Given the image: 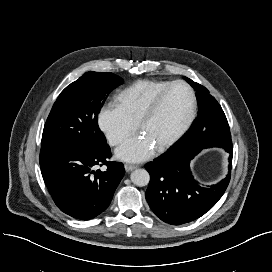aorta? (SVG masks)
Here are the masks:
<instances>
[{
	"label": "aorta",
	"instance_id": "aorta-1",
	"mask_svg": "<svg viewBox=\"0 0 272 272\" xmlns=\"http://www.w3.org/2000/svg\"><path fill=\"white\" fill-rule=\"evenodd\" d=\"M131 181L133 184L139 187L148 185L150 176L145 169H136L131 173Z\"/></svg>",
	"mask_w": 272,
	"mask_h": 272
}]
</instances>
